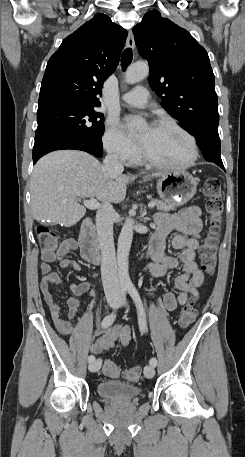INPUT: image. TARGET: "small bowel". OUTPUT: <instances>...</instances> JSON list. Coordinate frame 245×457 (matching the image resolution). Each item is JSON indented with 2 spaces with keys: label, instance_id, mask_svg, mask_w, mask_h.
I'll return each instance as SVG.
<instances>
[{
  "label": "small bowel",
  "instance_id": "small-bowel-1",
  "mask_svg": "<svg viewBox=\"0 0 245 457\" xmlns=\"http://www.w3.org/2000/svg\"><path fill=\"white\" fill-rule=\"evenodd\" d=\"M201 214L198 206H190L177 213H158L155 216L156 228L149 242V254L153 263L148 266V271L155 277H163L168 270L176 269L179 262L183 264L182 274L175 279V286L179 292L177 294L168 292L163 297V305L169 311L185 305L189 296L197 297V290L203 282V274L195 261L203 227ZM172 232H177L172 238L173 248L182 250L179 258L164 254L165 239ZM78 245L75 239H66L56 253L42 254L40 287L52 320L58 331L68 337L71 345L76 349L100 354L115 344L126 346L131 340L129 326L110 325L111 327L104 328L105 330H98L91 334L87 328L73 324L72 319L77 313L80 298L86 293L92 297L97 296V292L88 282L70 285L71 296L67 300L68 314L67 318L62 317L61 308L51 292V286L62 284L63 281L59 274L51 270L50 263L58 260L61 267L80 271L82 267L78 262L65 257L69 252L76 250ZM98 335H100L99 338L94 339Z\"/></svg>",
  "mask_w": 245,
  "mask_h": 457
}]
</instances>
